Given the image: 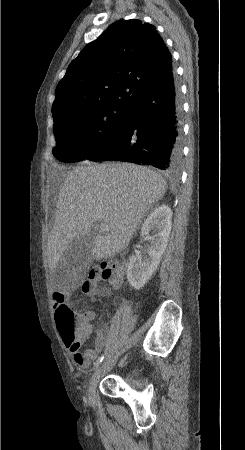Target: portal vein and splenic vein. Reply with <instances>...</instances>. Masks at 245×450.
I'll return each mask as SVG.
<instances>
[{
	"label": "portal vein and splenic vein",
	"mask_w": 245,
	"mask_h": 450,
	"mask_svg": "<svg viewBox=\"0 0 245 450\" xmlns=\"http://www.w3.org/2000/svg\"><path fill=\"white\" fill-rule=\"evenodd\" d=\"M99 230H100V232L107 233L110 231V227L106 223H101L99 226Z\"/></svg>",
	"instance_id": "portal-vein-and-splenic-vein-1"
}]
</instances>
